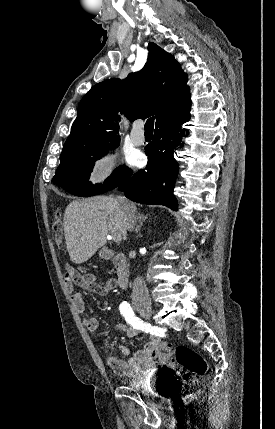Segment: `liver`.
Wrapping results in <instances>:
<instances>
[{"label":"liver","mask_w":275,"mask_h":429,"mask_svg":"<svg viewBox=\"0 0 275 429\" xmlns=\"http://www.w3.org/2000/svg\"><path fill=\"white\" fill-rule=\"evenodd\" d=\"M132 211L136 206L125 199ZM64 234L73 263L81 264L104 246L107 235L119 234L126 239L125 212L118 197L95 196L72 201L64 214Z\"/></svg>","instance_id":"6515ba94"}]
</instances>
